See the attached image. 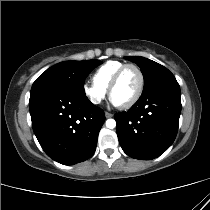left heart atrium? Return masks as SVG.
Returning <instances> with one entry per match:
<instances>
[{"mask_svg": "<svg viewBox=\"0 0 210 210\" xmlns=\"http://www.w3.org/2000/svg\"><path fill=\"white\" fill-rule=\"evenodd\" d=\"M111 102H112L113 105L117 106V103H115L112 99H111Z\"/></svg>", "mask_w": 210, "mask_h": 210, "instance_id": "left-heart-atrium-1", "label": "left heart atrium"}]
</instances>
